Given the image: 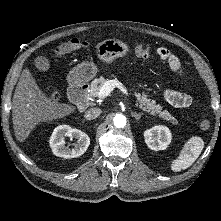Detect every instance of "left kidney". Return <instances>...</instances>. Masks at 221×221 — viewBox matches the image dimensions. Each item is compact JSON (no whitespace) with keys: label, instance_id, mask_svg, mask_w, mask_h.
I'll use <instances>...</instances> for the list:
<instances>
[{"label":"left kidney","instance_id":"1","mask_svg":"<svg viewBox=\"0 0 221 221\" xmlns=\"http://www.w3.org/2000/svg\"><path fill=\"white\" fill-rule=\"evenodd\" d=\"M147 146L154 150H164L171 142V133L166 126H154L144 132Z\"/></svg>","mask_w":221,"mask_h":221}]
</instances>
